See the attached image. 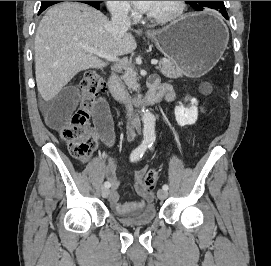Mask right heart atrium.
Segmentation results:
<instances>
[{
  "mask_svg": "<svg viewBox=\"0 0 271 266\" xmlns=\"http://www.w3.org/2000/svg\"><path fill=\"white\" fill-rule=\"evenodd\" d=\"M110 12L118 17L132 18L135 15V10L129 1H106Z\"/></svg>",
  "mask_w": 271,
  "mask_h": 266,
  "instance_id": "obj_1",
  "label": "right heart atrium"
}]
</instances>
